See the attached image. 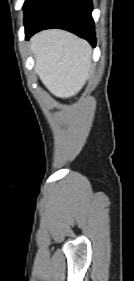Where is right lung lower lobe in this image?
<instances>
[{"instance_id":"98d812e1","label":"right lung lower lobe","mask_w":134,"mask_h":281,"mask_svg":"<svg viewBox=\"0 0 134 281\" xmlns=\"http://www.w3.org/2000/svg\"><path fill=\"white\" fill-rule=\"evenodd\" d=\"M91 0H37L25 18V34L29 39L43 29L70 31L95 46Z\"/></svg>"}]
</instances>
